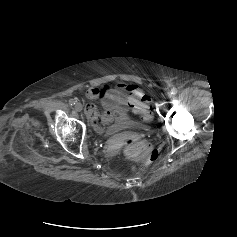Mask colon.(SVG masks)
I'll use <instances>...</instances> for the list:
<instances>
[{
  "instance_id": "obj_1",
  "label": "colon",
  "mask_w": 237,
  "mask_h": 237,
  "mask_svg": "<svg viewBox=\"0 0 237 237\" xmlns=\"http://www.w3.org/2000/svg\"><path fill=\"white\" fill-rule=\"evenodd\" d=\"M125 155L137 162L152 163L158 157V151L146 140L129 138L125 145Z\"/></svg>"
}]
</instances>
